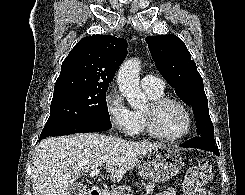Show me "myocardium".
<instances>
[{
  "instance_id": "1",
  "label": "myocardium",
  "mask_w": 245,
  "mask_h": 195,
  "mask_svg": "<svg viewBox=\"0 0 245 195\" xmlns=\"http://www.w3.org/2000/svg\"><path fill=\"white\" fill-rule=\"evenodd\" d=\"M167 104H176L180 106L186 115L187 118L186 128L178 135H174V136L163 135L155 127L154 121H155L156 114ZM142 115H143L144 131L152 138H155L160 141H164V142L179 141L185 138L186 136H188L193 128V116L191 111L183 101L177 98L160 97L156 100H153L150 102L148 109L142 112Z\"/></svg>"
}]
</instances>
